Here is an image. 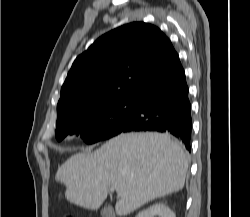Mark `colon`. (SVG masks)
I'll return each mask as SVG.
<instances>
[{
    "label": "colon",
    "mask_w": 250,
    "mask_h": 217,
    "mask_svg": "<svg viewBox=\"0 0 250 217\" xmlns=\"http://www.w3.org/2000/svg\"><path fill=\"white\" fill-rule=\"evenodd\" d=\"M64 217H75L73 214H66Z\"/></svg>",
    "instance_id": "colon-1"
}]
</instances>
